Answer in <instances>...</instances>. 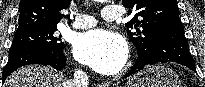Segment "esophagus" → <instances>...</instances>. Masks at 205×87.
<instances>
[{
	"label": "esophagus",
	"instance_id": "obj_1",
	"mask_svg": "<svg viewBox=\"0 0 205 87\" xmlns=\"http://www.w3.org/2000/svg\"><path fill=\"white\" fill-rule=\"evenodd\" d=\"M100 87H110V84L108 81H104L100 84Z\"/></svg>",
	"mask_w": 205,
	"mask_h": 87
}]
</instances>
